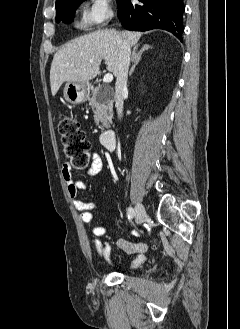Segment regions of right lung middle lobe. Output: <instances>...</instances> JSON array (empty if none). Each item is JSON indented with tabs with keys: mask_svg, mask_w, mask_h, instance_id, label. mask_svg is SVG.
I'll return each mask as SVG.
<instances>
[{
	"mask_svg": "<svg viewBox=\"0 0 240 329\" xmlns=\"http://www.w3.org/2000/svg\"><path fill=\"white\" fill-rule=\"evenodd\" d=\"M85 0H67L56 7L57 22H69L73 20V14L78 8L79 4ZM122 0H117L118 5Z\"/></svg>",
	"mask_w": 240,
	"mask_h": 329,
	"instance_id": "obj_1",
	"label": "right lung middle lobe"
}]
</instances>
